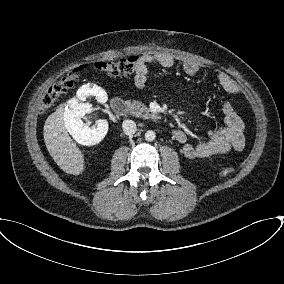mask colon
I'll use <instances>...</instances> for the list:
<instances>
[{
	"instance_id": "5ec220e1",
	"label": "colon",
	"mask_w": 284,
	"mask_h": 284,
	"mask_svg": "<svg viewBox=\"0 0 284 284\" xmlns=\"http://www.w3.org/2000/svg\"><path fill=\"white\" fill-rule=\"evenodd\" d=\"M138 61V57L130 56L116 61L98 62L96 63V68L112 77H126L136 72ZM85 68V66L75 68L73 71L69 72L67 75L53 84L43 97L41 110H48L59 97H61L68 89H70L75 81L79 78L80 73L83 72ZM232 172L233 168L229 166H225L221 170V174L223 176H227Z\"/></svg>"
}]
</instances>
